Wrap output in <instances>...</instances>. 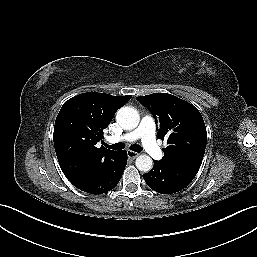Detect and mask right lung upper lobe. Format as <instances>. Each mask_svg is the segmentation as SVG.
Returning <instances> with one entry per match:
<instances>
[{
	"label": "right lung upper lobe",
	"mask_w": 257,
	"mask_h": 257,
	"mask_svg": "<svg viewBox=\"0 0 257 257\" xmlns=\"http://www.w3.org/2000/svg\"><path fill=\"white\" fill-rule=\"evenodd\" d=\"M131 95L88 92L66 101L55 121L54 147L60 167L69 180L96 174L118 151L97 148L103 130Z\"/></svg>",
	"instance_id": "1"
}]
</instances>
